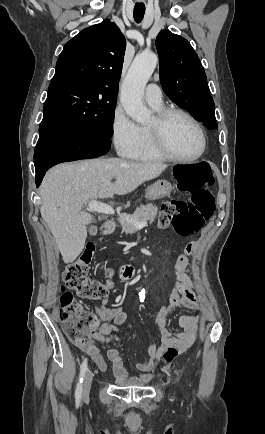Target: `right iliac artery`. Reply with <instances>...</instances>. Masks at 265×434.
I'll list each match as a JSON object with an SVG mask.
<instances>
[{
  "label": "right iliac artery",
  "instance_id": "obj_1",
  "mask_svg": "<svg viewBox=\"0 0 265 434\" xmlns=\"http://www.w3.org/2000/svg\"><path fill=\"white\" fill-rule=\"evenodd\" d=\"M86 370H87V359H84V361L82 362L81 367H80L79 380H78L76 391H75L76 401H80L81 400L82 385H83V379H84Z\"/></svg>",
  "mask_w": 265,
  "mask_h": 434
}]
</instances>
